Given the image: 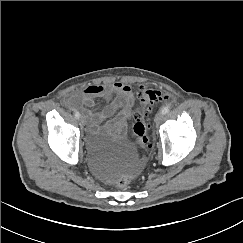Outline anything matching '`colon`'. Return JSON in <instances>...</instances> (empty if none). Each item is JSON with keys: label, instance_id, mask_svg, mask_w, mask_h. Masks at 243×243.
<instances>
[{"label": "colon", "instance_id": "5ec220e1", "mask_svg": "<svg viewBox=\"0 0 243 243\" xmlns=\"http://www.w3.org/2000/svg\"><path fill=\"white\" fill-rule=\"evenodd\" d=\"M136 93L140 106L132 109L133 135L137 146L144 154H152L154 145L150 142L151 123L148 121L151 107L162 103L168 99V95L153 88H147L146 84L139 83L136 86ZM130 184V178L126 175L120 176L115 186L118 189H125Z\"/></svg>", "mask_w": 243, "mask_h": 243}]
</instances>
